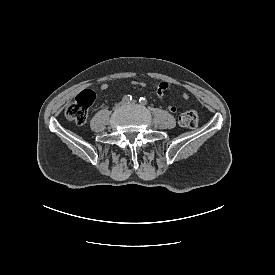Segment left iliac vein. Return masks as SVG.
<instances>
[{"label": "left iliac vein", "mask_w": 275, "mask_h": 275, "mask_svg": "<svg viewBox=\"0 0 275 275\" xmlns=\"http://www.w3.org/2000/svg\"><path fill=\"white\" fill-rule=\"evenodd\" d=\"M129 104L134 105V104H135V102H134V101H132L131 103H130V102H129V103H124V105H129Z\"/></svg>", "instance_id": "1"}]
</instances>
